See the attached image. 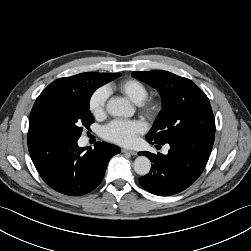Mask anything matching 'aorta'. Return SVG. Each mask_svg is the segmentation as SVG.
I'll return each instance as SVG.
<instances>
[{"label":"aorta","mask_w":251,"mask_h":251,"mask_svg":"<svg viewBox=\"0 0 251 251\" xmlns=\"http://www.w3.org/2000/svg\"><path fill=\"white\" fill-rule=\"evenodd\" d=\"M107 112L115 117H131L134 114V109L123 98L110 99L106 105ZM151 169V162L145 156H138L134 161V170L137 174L144 176L149 173Z\"/></svg>","instance_id":"1"}]
</instances>
